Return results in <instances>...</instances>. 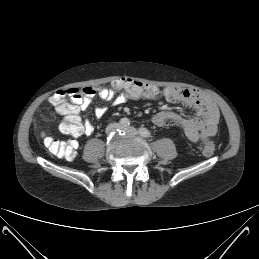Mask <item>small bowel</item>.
<instances>
[{
    "mask_svg": "<svg viewBox=\"0 0 259 259\" xmlns=\"http://www.w3.org/2000/svg\"><path fill=\"white\" fill-rule=\"evenodd\" d=\"M154 94L150 96L133 95L125 90H117L107 87L88 86L82 90L60 91L52 95L50 103L55 106L56 111L63 116L64 120L77 119L80 122V131L75 137L82 135H91L94 127L91 123H82L80 119L81 111L87 110L95 96L101 100L109 102L113 106L121 105L127 101H139L146 99H165L169 102H181L189 108L195 110L197 117L186 118L177 112L163 110L159 111L152 117V122L156 126H164L168 122H173L180 126L185 136L192 142H198L202 139L210 138L217 132L219 121V110L215 103L195 89H184L180 87L159 88L152 86ZM69 95L68 102L56 104L55 100ZM106 107L96 106L94 113L97 118H102L106 113Z\"/></svg>",
    "mask_w": 259,
    "mask_h": 259,
    "instance_id": "1",
    "label": "small bowel"
}]
</instances>
